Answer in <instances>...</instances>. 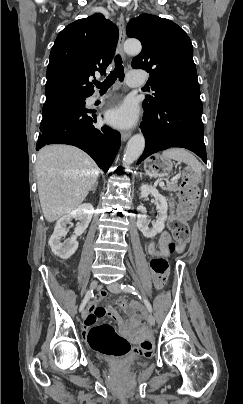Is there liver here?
<instances>
[{
    "label": "liver",
    "instance_id": "6515ba94",
    "mask_svg": "<svg viewBox=\"0 0 243 404\" xmlns=\"http://www.w3.org/2000/svg\"><path fill=\"white\" fill-rule=\"evenodd\" d=\"M90 156L74 146H45L37 154L39 200L47 222H55L81 206L98 176Z\"/></svg>",
    "mask_w": 243,
    "mask_h": 404
}]
</instances>
